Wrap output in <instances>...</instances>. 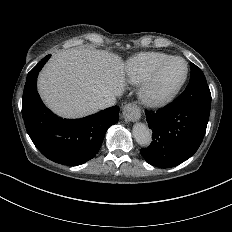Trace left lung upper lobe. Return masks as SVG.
<instances>
[{
    "label": "left lung upper lobe",
    "instance_id": "left-lung-upper-lobe-1",
    "mask_svg": "<svg viewBox=\"0 0 232 232\" xmlns=\"http://www.w3.org/2000/svg\"><path fill=\"white\" fill-rule=\"evenodd\" d=\"M191 77L184 92L174 101L191 105L210 113L211 93L203 72L195 64L190 63Z\"/></svg>",
    "mask_w": 232,
    "mask_h": 232
}]
</instances>
